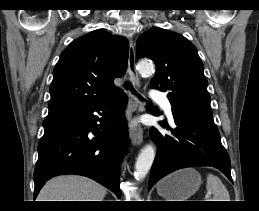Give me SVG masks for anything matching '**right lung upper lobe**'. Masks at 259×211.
Returning <instances> with one entry per match:
<instances>
[{"mask_svg": "<svg viewBox=\"0 0 259 211\" xmlns=\"http://www.w3.org/2000/svg\"><path fill=\"white\" fill-rule=\"evenodd\" d=\"M129 43L105 30L75 39L53 71L47 117L84 110L119 95L114 78L127 68Z\"/></svg>", "mask_w": 259, "mask_h": 211, "instance_id": "right-lung-upper-lobe-1", "label": "right lung upper lobe"}]
</instances>
